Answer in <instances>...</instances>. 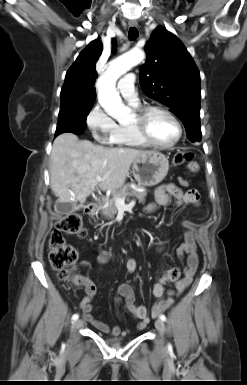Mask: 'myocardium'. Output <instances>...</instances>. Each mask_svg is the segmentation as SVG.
Returning <instances> with one entry per match:
<instances>
[{"instance_id": "f54148a6", "label": "myocardium", "mask_w": 247, "mask_h": 385, "mask_svg": "<svg viewBox=\"0 0 247 385\" xmlns=\"http://www.w3.org/2000/svg\"><path fill=\"white\" fill-rule=\"evenodd\" d=\"M153 112H161L167 115L175 124L177 128L176 138L168 144H160L154 141L147 130V120ZM137 135L147 144L158 149H170L174 147L181 140L183 135L182 124L179 119L170 110L162 106H145L139 109L135 115V119L131 124Z\"/></svg>"}]
</instances>
